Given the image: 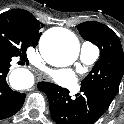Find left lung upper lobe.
<instances>
[{
	"mask_svg": "<svg viewBox=\"0 0 124 124\" xmlns=\"http://www.w3.org/2000/svg\"><path fill=\"white\" fill-rule=\"evenodd\" d=\"M78 31L101 51L99 60L81 82V91L98 97L109 106L118 92L124 73L121 42L109 27L99 22L79 24Z\"/></svg>",
	"mask_w": 124,
	"mask_h": 124,
	"instance_id": "1",
	"label": "left lung upper lobe"
}]
</instances>
